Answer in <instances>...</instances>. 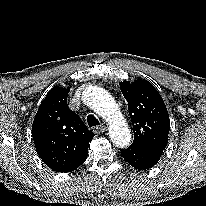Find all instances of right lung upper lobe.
<instances>
[{"mask_svg":"<svg viewBox=\"0 0 206 206\" xmlns=\"http://www.w3.org/2000/svg\"><path fill=\"white\" fill-rule=\"evenodd\" d=\"M70 87L54 86L41 102L32 125L38 155L56 172H71L88 154L94 133L67 104Z\"/></svg>","mask_w":206,"mask_h":206,"instance_id":"obj_1","label":"right lung upper lobe"}]
</instances>
